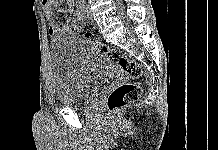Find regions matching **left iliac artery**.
<instances>
[{"instance_id":"1","label":"left iliac artery","mask_w":218,"mask_h":150,"mask_svg":"<svg viewBox=\"0 0 218 150\" xmlns=\"http://www.w3.org/2000/svg\"><path fill=\"white\" fill-rule=\"evenodd\" d=\"M84 0H81L80 5H79V10H78V16L79 18H84L85 14H84Z\"/></svg>"}]
</instances>
